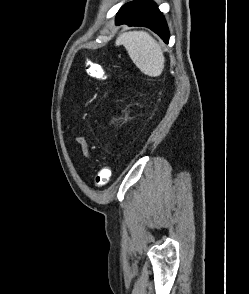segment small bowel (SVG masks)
<instances>
[{
	"label": "small bowel",
	"mask_w": 249,
	"mask_h": 294,
	"mask_svg": "<svg viewBox=\"0 0 249 294\" xmlns=\"http://www.w3.org/2000/svg\"><path fill=\"white\" fill-rule=\"evenodd\" d=\"M75 143L77 145L78 151L84 158H89V150H88V144L85 138L83 137H76Z\"/></svg>",
	"instance_id": "1"
}]
</instances>
